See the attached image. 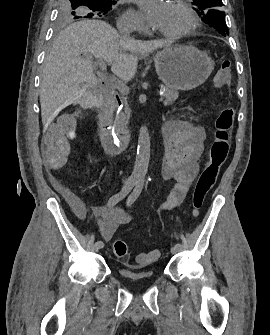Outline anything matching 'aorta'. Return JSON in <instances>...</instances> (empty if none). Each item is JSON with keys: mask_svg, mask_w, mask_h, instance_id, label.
Segmentation results:
<instances>
[{"mask_svg": "<svg viewBox=\"0 0 270 335\" xmlns=\"http://www.w3.org/2000/svg\"><path fill=\"white\" fill-rule=\"evenodd\" d=\"M150 146L149 132L143 126V128H140L136 162L131 175L132 179H136V181H144L145 179L150 160Z\"/></svg>", "mask_w": 270, "mask_h": 335, "instance_id": "1", "label": "aorta"}]
</instances>
